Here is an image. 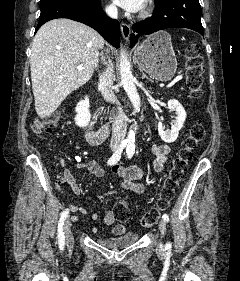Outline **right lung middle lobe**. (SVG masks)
<instances>
[{"instance_id":"1","label":"right lung middle lobe","mask_w":240,"mask_h":281,"mask_svg":"<svg viewBox=\"0 0 240 281\" xmlns=\"http://www.w3.org/2000/svg\"><path fill=\"white\" fill-rule=\"evenodd\" d=\"M54 1H58V0H41L40 1V6H43L45 4H48V3H51V2H54ZM72 1L93 3V2H95L97 0H72Z\"/></svg>"}]
</instances>
